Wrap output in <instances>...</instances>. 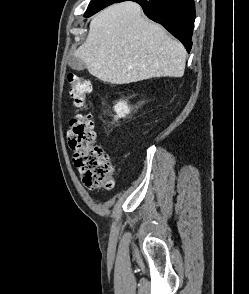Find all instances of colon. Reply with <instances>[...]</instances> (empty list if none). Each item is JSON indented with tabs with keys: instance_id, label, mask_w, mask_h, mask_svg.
<instances>
[{
	"instance_id": "5ec220e1",
	"label": "colon",
	"mask_w": 249,
	"mask_h": 294,
	"mask_svg": "<svg viewBox=\"0 0 249 294\" xmlns=\"http://www.w3.org/2000/svg\"><path fill=\"white\" fill-rule=\"evenodd\" d=\"M68 81L76 108L67 134L69 146L74 151V164L87 187L111 189L114 185V167L109 156L95 144L96 134L88 112L92 85L87 78L72 73L68 75Z\"/></svg>"
}]
</instances>
